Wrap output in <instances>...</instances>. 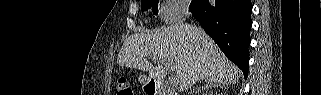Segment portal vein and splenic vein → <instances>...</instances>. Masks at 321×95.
Returning a JSON list of instances; mask_svg holds the SVG:
<instances>
[{"label":"portal vein and splenic vein","instance_id":"18ae733b","mask_svg":"<svg viewBox=\"0 0 321 95\" xmlns=\"http://www.w3.org/2000/svg\"><path fill=\"white\" fill-rule=\"evenodd\" d=\"M165 66L167 67V69H168L169 71H173V67L171 66V64H165ZM171 83H172L173 85H176V84H177V82H176V76H172V77H171Z\"/></svg>","mask_w":321,"mask_h":95}]
</instances>
